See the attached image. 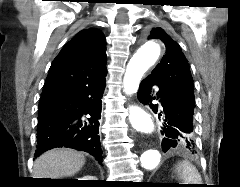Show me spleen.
Masks as SVG:
<instances>
[{"label": "spleen", "instance_id": "1", "mask_svg": "<svg viewBox=\"0 0 240 187\" xmlns=\"http://www.w3.org/2000/svg\"><path fill=\"white\" fill-rule=\"evenodd\" d=\"M177 173L186 184H201L202 179L198 170L188 161H182L177 166Z\"/></svg>", "mask_w": 240, "mask_h": 187}]
</instances>
